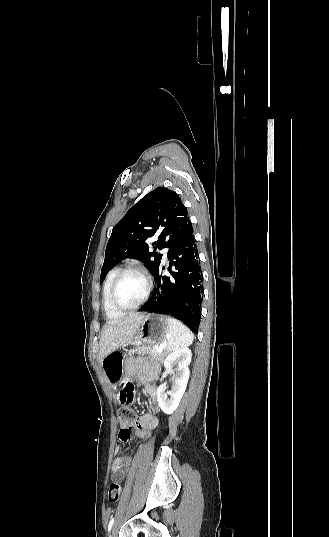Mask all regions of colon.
I'll return each mask as SVG.
<instances>
[{
	"label": "colon",
	"instance_id": "1",
	"mask_svg": "<svg viewBox=\"0 0 329 537\" xmlns=\"http://www.w3.org/2000/svg\"><path fill=\"white\" fill-rule=\"evenodd\" d=\"M134 399H132L133 402ZM131 402V403H132ZM137 417L136 413L133 409L128 407L121 408L119 412V427L120 430L125 429L130 433V430L132 427L136 424ZM119 430V431H120ZM121 485L118 482H112L109 486L108 490V498L111 502L118 501L120 495H121Z\"/></svg>",
	"mask_w": 329,
	"mask_h": 537
}]
</instances>
